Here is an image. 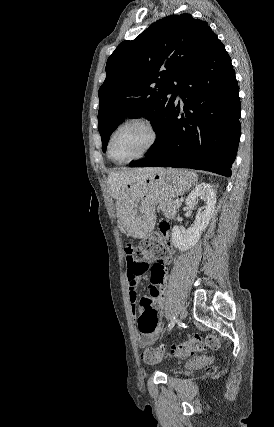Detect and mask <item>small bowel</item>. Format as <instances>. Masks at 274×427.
<instances>
[{"label": "small bowel", "mask_w": 274, "mask_h": 427, "mask_svg": "<svg viewBox=\"0 0 274 427\" xmlns=\"http://www.w3.org/2000/svg\"><path fill=\"white\" fill-rule=\"evenodd\" d=\"M127 252L124 259L127 262L136 260V255L130 253L133 247L127 244L124 247ZM173 260V253L169 251L168 255L161 261L160 264H132L126 271L128 277L129 287V301L132 305L133 311L135 310L136 302L138 299L137 284L140 278H150L149 285L146 287V292L140 295L139 311L136 319V326L140 327L144 335H137V341L140 346L149 345L150 343L157 340L161 332L165 331L163 312V301L165 299L168 285L166 270L167 266L171 264ZM161 273H163L162 278ZM160 302V304H159Z\"/></svg>", "instance_id": "1"}]
</instances>
